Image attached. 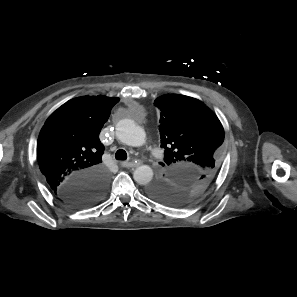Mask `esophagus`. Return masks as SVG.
I'll use <instances>...</instances> for the list:
<instances>
[{"mask_svg": "<svg viewBox=\"0 0 297 297\" xmlns=\"http://www.w3.org/2000/svg\"><path fill=\"white\" fill-rule=\"evenodd\" d=\"M121 166L122 167H126V168H133V167H137L138 166V163H136V162L123 161V162H121Z\"/></svg>", "mask_w": 297, "mask_h": 297, "instance_id": "obj_1", "label": "esophagus"}]
</instances>
